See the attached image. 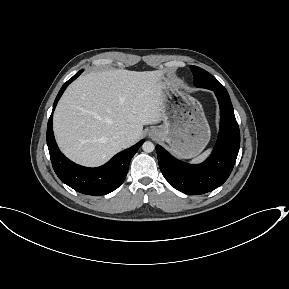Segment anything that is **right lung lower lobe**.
I'll return each instance as SVG.
<instances>
[{
	"label": "right lung lower lobe",
	"instance_id": "right-lung-lower-lobe-1",
	"mask_svg": "<svg viewBox=\"0 0 289 289\" xmlns=\"http://www.w3.org/2000/svg\"><path fill=\"white\" fill-rule=\"evenodd\" d=\"M82 72L83 70H80L62 86L54 101L52 114L47 125V145L54 171L62 182L80 193L100 196L114 191L123 183L128 172L130 160L144 140L129 149L123 150L105 165L97 168L77 165L60 152L52 129L53 111L66 87Z\"/></svg>",
	"mask_w": 289,
	"mask_h": 289
}]
</instances>
